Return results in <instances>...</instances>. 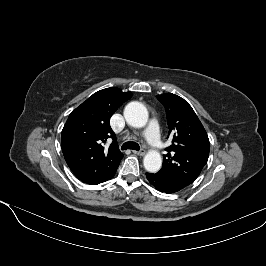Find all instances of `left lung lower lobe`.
<instances>
[{"instance_id":"1","label":"left lung lower lobe","mask_w":266,"mask_h":266,"mask_svg":"<svg viewBox=\"0 0 266 266\" xmlns=\"http://www.w3.org/2000/svg\"><path fill=\"white\" fill-rule=\"evenodd\" d=\"M146 177L148 181L161 192H165L167 194L175 193L183 189L182 187L170 182L166 178L160 176L158 173H146Z\"/></svg>"}]
</instances>
